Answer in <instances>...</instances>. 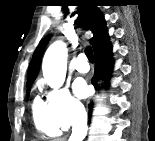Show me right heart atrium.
<instances>
[{
  "mask_svg": "<svg viewBox=\"0 0 155 141\" xmlns=\"http://www.w3.org/2000/svg\"><path fill=\"white\" fill-rule=\"evenodd\" d=\"M50 112L63 130L81 123L85 118L84 106L66 88H57L47 95Z\"/></svg>",
  "mask_w": 155,
  "mask_h": 141,
  "instance_id": "obj_1",
  "label": "right heart atrium"
}]
</instances>
